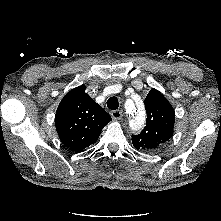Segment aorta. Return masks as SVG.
I'll use <instances>...</instances> for the list:
<instances>
[{
	"mask_svg": "<svg viewBox=\"0 0 221 221\" xmlns=\"http://www.w3.org/2000/svg\"><path fill=\"white\" fill-rule=\"evenodd\" d=\"M126 114L132 129L136 130L142 127L145 119V113L142 107L133 101H129L126 108Z\"/></svg>",
	"mask_w": 221,
	"mask_h": 221,
	"instance_id": "1",
	"label": "aorta"
}]
</instances>
